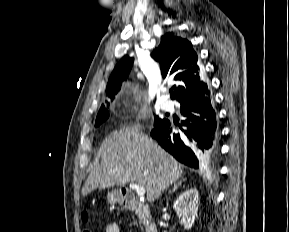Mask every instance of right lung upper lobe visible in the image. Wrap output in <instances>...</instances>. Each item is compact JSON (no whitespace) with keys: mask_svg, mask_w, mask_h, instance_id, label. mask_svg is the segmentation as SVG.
<instances>
[{"mask_svg":"<svg viewBox=\"0 0 289 232\" xmlns=\"http://www.w3.org/2000/svg\"><path fill=\"white\" fill-rule=\"evenodd\" d=\"M160 62L163 78L170 76L180 85L175 87L171 97L177 101L210 93L204 74L197 61L198 57L192 44L183 38L168 32L161 37V43L151 55ZM133 65V59L124 56L114 68L106 88V95L114 98L121 83L127 78ZM103 106V105H102Z\"/></svg>","mask_w":289,"mask_h":232,"instance_id":"1","label":"right lung upper lobe"}]
</instances>
